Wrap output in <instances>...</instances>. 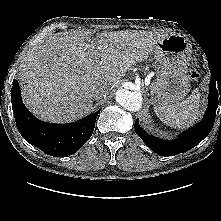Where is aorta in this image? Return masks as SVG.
<instances>
[{
	"mask_svg": "<svg viewBox=\"0 0 221 221\" xmlns=\"http://www.w3.org/2000/svg\"><path fill=\"white\" fill-rule=\"evenodd\" d=\"M116 101L127 110L137 111L141 108L142 96L137 91L119 89L116 92Z\"/></svg>",
	"mask_w": 221,
	"mask_h": 221,
	"instance_id": "aorta-1",
	"label": "aorta"
}]
</instances>
